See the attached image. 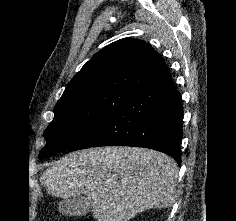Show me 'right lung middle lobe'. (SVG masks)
<instances>
[{"mask_svg": "<svg viewBox=\"0 0 236 221\" xmlns=\"http://www.w3.org/2000/svg\"><path fill=\"white\" fill-rule=\"evenodd\" d=\"M135 93L125 89L103 90L56 105L54 119L44 132L47 143L39 158L71 148Z\"/></svg>", "mask_w": 236, "mask_h": 221, "instance_id": "obj_1", "label": "right lung middle lobe"}]
</instances>
